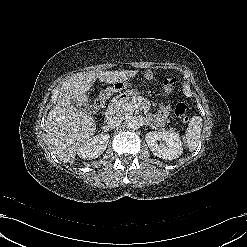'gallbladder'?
I'll return each mask as SVG.
<instances>
[{"label": "gallbladder", "instance_id": "1", "mask_svg": "<svg viewBox=\"0 0 247 247\" xmlns=\"http://www.w3.org/2000/svg\"><path fill=\"white\" fill-rule=\"evenodd\" d=\"M72 104H73L76 108H78V109H85V110H87V111H90V110H91L90 107H87V106H85V105H80V104H78V102H76V101H74V100H72Z\"/></svg>", "mask_w": 247, "mask_h": 247}]
</instances>
